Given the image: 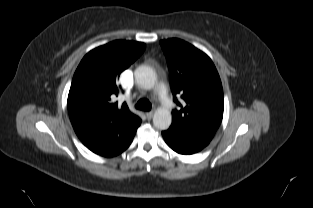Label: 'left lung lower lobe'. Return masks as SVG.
<instances>
[{
	"label": "left lung lower lobe",
	"instance_id": "0a47b994",
	"mask_svg": "<svg viewBox=\"0 0 313 208\" xmlns=\"http://www.w3.org/2000/svg\"><path fill=\"white\" fill-rule=\"evenodd\" d=\"M162 136L171 149L183 155L199 152L209 144V142L206 141L182 137L169 129L163 131Z\"/></svg>",
	"mask_w": 313,
	"mask_h": 208
}]
</instances>
